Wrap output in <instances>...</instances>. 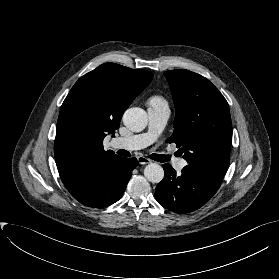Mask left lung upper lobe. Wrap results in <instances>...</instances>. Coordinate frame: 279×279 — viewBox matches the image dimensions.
<instances>
[{"label": "left lung upper lobe", "mask_w": 279, "mask_h": 279, "mask_svg": "<svg viewBox=\"0 0 279 279\" xmlns=\"http://www.w3.org/2000/svg\"><path fill=\"white\" fill-rule=\"evenodd\" d=\"M176 109V143L188 165L184 172L203 177L220 186L229 166L232 124L229 105L205 77L176 69L164 73Z\"/></svg>", "instance_id": "5c2ea615"}]
</instances>
